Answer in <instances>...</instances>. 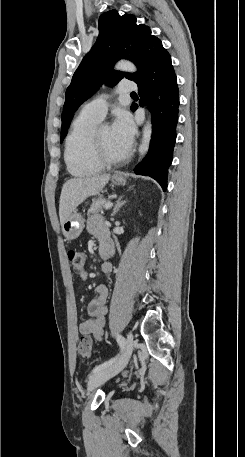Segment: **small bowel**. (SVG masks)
<instances>
[{
    "mask_svg": "<svg viewBox=\"0 0 245 457\" xmlns=\"http://www.w3.org/2000/svg\"><path fill=\"white\" fill-rule=\"evenodd\" d=\"M87 230L99 241V249H106L109 257L113 254V245L106 222L99 215L91 216L87 221ZM103 274H110L112 266L104 263L101 267ZM80 276L83 280L88 279V272L82 271ZM108 290L106 286L99 285L94 290V296L87 306L89 318L82 321L79 325V332L84 336H92L96 340H102L104 335V325L108 312L106 301Z\"/></svg>",
    "mask_w": 245,
    "mask_h": 457,
    "instance_id": "obj_1",
    "label": "small bowel"
}]
</instances>
